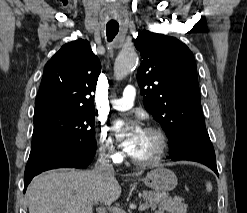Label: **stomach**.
Wrapping results in <instances>:
<instances>
[{
    "label": "stomach",
    "instance_id": "stomach-1",
    "mask_svg": "<svg viewBox=\"0 0 247 213\" xmlns=\"http://www.w3.org/2000/svg\"><path fill=\"white\" fill-rule=\"evenodd\" d=\"M143 182L158 193H166L177 186L178 180L173 171L159 166L149 171Z\"/></svg>",
    "mask_w": 247,
    "mask_h": 213
}]
</instances>
